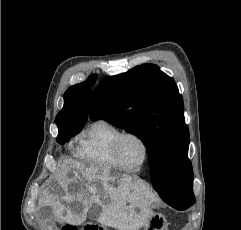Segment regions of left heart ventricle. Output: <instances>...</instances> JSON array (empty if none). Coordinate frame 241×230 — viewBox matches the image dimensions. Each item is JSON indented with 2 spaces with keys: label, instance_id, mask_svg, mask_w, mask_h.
<instances>
[{
  "label": "left heart ventricle",
  "instance_id": "b2bd125f",
  "mask_svg": "<svg viewBox=\"0 0 241 230\" xmlns=\"http://www.w3.org/2000/svg\"><path fill=\"white\" fill-rule=\"evenodd\" d=\"M120 157L129 167H138L144 159V148L134 137H127L121 144Z\"/></svg>",
  "mask_w": 241,
  "mask_h": 230
}]
</instances>
